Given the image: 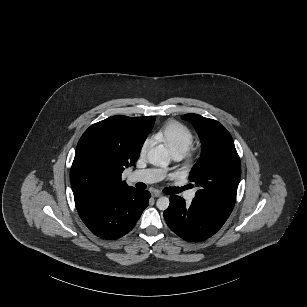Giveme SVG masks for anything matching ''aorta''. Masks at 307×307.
Returning a JSON list of instances; mask_svg holds the SVG:
<instances>
[{
	"mask_svg": "<svg viewBox=\"0 0 307 307\" xmlns=\"http://www.w3.org/2000/svg\"><path fill=\"white\" fill-rule=\"evenodd\" d=\"M147 158L150 164L160 167H167L171 162V156L169 154V150L162 144L155 146L152 148L148 154ZM169 198L162 196L159 197L156 206L159 210H166L169 206Z\"/></svg>",
	"mask_w": 307,
	"mask_h": 307,
	"instance_id": "1",
	"label": "aorta"
}]
</instances>
